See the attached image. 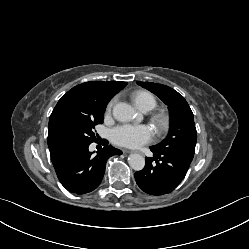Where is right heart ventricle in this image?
Wrapping results in <instances>:
<instances>
[{"instance_id":"right-heart-ventricle-1","label":"right heart ventricle","mask_w":249,"mask_h":249,"mask_svg":"<svg viewBox=\"0 0 249 249\" xmlns=\"http://www.w3.org/2000/svg\"><path fill=\"white\" fill-rule=\"evenodd\" d=\"M132 99L135 105L143 111L152 110L157 105L155 97L149 92L145 91L135 93L132 96Z\"/></svg>"}]
</instances>
